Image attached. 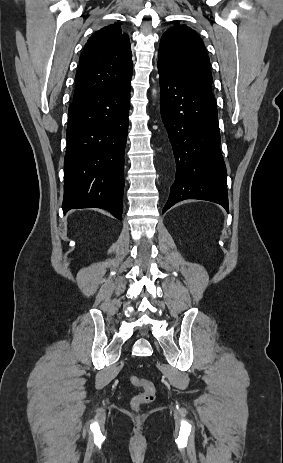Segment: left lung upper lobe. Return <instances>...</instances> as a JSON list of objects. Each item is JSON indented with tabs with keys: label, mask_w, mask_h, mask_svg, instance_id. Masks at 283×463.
<instances>
[{
	"label": "left lung upper lobe",
	"mask_w": 283,
	"mask_h": 463,
	"mask_svg": "<svg viewBox=\"0 0 283 463\" xmlns=\"http://www.w3.org/2000/svg\"><path fill=\"white\" fill-rule=\"evenodd\" d=\"M158 64L194 91L214 99L210 60L202 39L186 25L175 23L161 37Z\"/></svg>",
	"instance_id": "1"
}]
</instances>
